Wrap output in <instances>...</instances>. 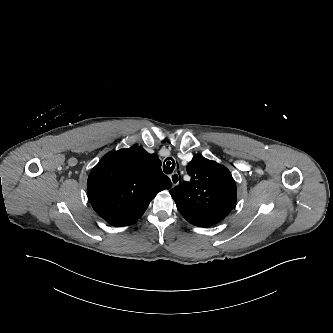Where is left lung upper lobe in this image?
I'll return each instance as SVG.
<instances>
[{
	"mask_svg": "<svg viewBox=\"0 0 333 333\" xmlns=\"http://www.w3.org/2000/svg\"><path fill=\"white\" fill-rule=\"evenodd\" d=\"M186 170L191 180L170 190L177 206L229 210L235 207L236 183L226 167L195 155Z\"/></svg>",
	"mask_w": 333,
	"mask_h": 333,
	"instance_id": "obj_1",
	"label": "left lung upper lobe"
}]
</instances>
